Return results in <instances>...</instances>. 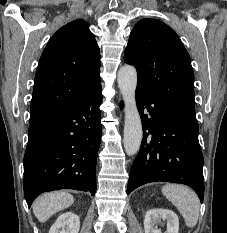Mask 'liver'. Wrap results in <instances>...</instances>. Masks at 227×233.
<instances>
[{"instance_id":"6515ba94","label":"liver","mask_w":227,"mask_h":233,"mask_svg":"<svg viewBox=\"0 0 227 233\" xmlns=\"http://www.w3.org/2000/svg\"><path fill=\"white\" fill-rule=\"evenodd\" d=\"M73 202L74 197L68 192L46 193L35 200L33 213L41 223L46 222L53 214L68 208Z\"/></svg>"}]
</instances>
